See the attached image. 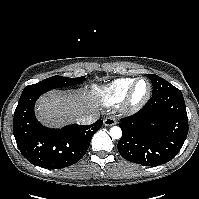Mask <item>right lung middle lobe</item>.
Masks as SVG:
<instances>
[{"mask_svg":"<svg viewBox=\"0 0 199 199\" xmlns=\"http://www.w3.org/2000/svg\"><path fill=\"white\" fill-rule=\"evenodd\" d=\"M85 76L78 78H68L62 76H52L43 81H40L36 84L28 85L25 87V90H37L41 92H47L54 88H62L66 86H72L79 84L85 80Z\"/></svg>","mask_w":199,"mask_h":199,"instance_id":"obj_1","label":"right lung middle lobe"}]
</instances>
